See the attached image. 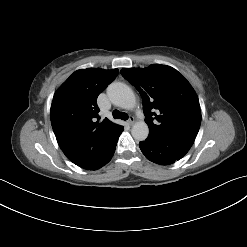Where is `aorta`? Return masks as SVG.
<instances>
[{
  "label": "aorta",
  "mask_w": 247,
  "mask_h": 247,
  "mask_svg": "<svg viewBox=\"0 0 247 247\" xmlns=\"http://www.w3.org/2000/svg\"><path fill=\"white\" fill-rule=\"evenodd\" d=\"M107 95L114 105L123 109H132L136 104L132 89L121 82L112 83L107 89ZM131 133L135 140L143 141L149 134L148 125L143 121L136 122Z\"/></svg>",
  "instance_id": "762f6f07"
}]
</instances>
